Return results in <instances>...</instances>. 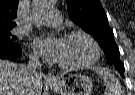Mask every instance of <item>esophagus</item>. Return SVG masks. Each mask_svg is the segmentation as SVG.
<instances>
[{
  "label": "esophagus",
  "instance_id": "1",
  "mask_svg": "<svg viewBox=\"0 0 135 95\" xmlns=\"http://www.w3.org/2000/svg\"><path fill=\"white\" fill-rule=\"evenodd\" d=\"M45 80L47 82H57V77L52 74V73H48L46 76H45Z\"/></svg>",
  "mask_w": 135,
  "mask_h": 95
}]
</instances>
